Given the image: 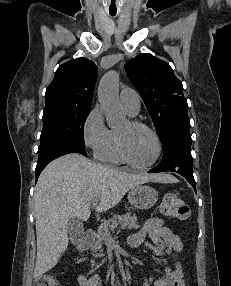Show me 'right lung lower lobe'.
<instances>
[{
    "mask_svg": "<svg viewBox=\"0 0 231 286\" xmlns=\"http://www.w3.org/2000/svg\"><path fill=\"white\" fill-rule=\"evenodd\" d=\"M68 153H80L86 156L84 146L75 143H59L38 152L39 158L35 169L36 179L50 161Z\"/></svg>",
    "mask_w": 231,
    "mask_h": 286,
    "instance_id": "1",
    "label": "right lung lower lobe"
}]
</instances>
